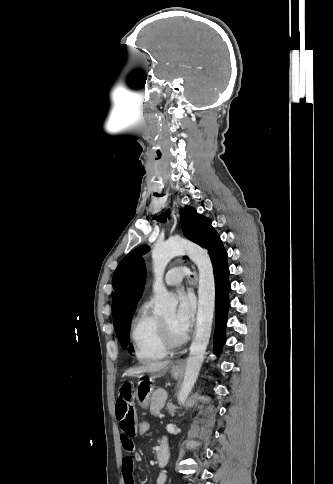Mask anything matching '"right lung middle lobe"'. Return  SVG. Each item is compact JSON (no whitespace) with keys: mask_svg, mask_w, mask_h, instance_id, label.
<instances>
[{"mask_svg":"<svg viewBox=\"0 0 333 484\" xmlns=\"http://www.w3.org/2000/svg\"><path fill=\"white\" fill-rule=\"evenodd\" d=\"M131 318L132 316L128 317L117 332V337L119 338V341L123 348H126L130 343L129 324H130ZM130 350H131V347H130Z\"/></svg>","mask_w":333,"mask_h":484,"instance_id":"1","label":"right lung middle lobe"}]
</instances>
